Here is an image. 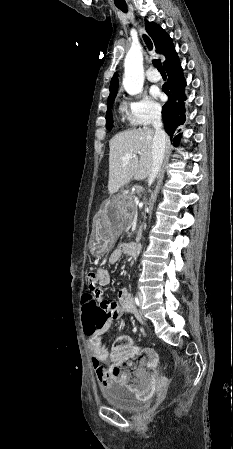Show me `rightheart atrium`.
Returning a JSON list of instances; mask_svg holds the SVG:
<instances>
[{"label":"right heart atrium","mask_w":233,"mask_h":449,"mask_svg":"<svg viewBox=\"0 0 233 449\" xmlns=\"http://www.w3.org/2000/svg\"><path fill=\"white\" fill-rule=\"evenodd\" d=\"M160 105L147 95H140L130 104V113L140 125H148L160 117Z\"/></svg>","instance_id":"d8ad5b80"}]
</instances>
